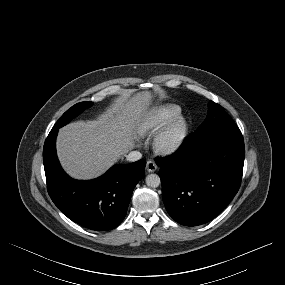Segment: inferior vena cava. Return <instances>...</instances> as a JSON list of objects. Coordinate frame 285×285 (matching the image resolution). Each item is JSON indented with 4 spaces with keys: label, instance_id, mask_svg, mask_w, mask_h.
I'll return each instance as SVG.
<instances>
[{
    "label": "inferior vena cava",
    "instance_id": "inferior-vena-cava-1",
    "mask_svg": "<svg viewBox=\"0 0 285 285\" xmlns=\"http://www.w3.org/2000/svg\"><path fill=\"white\" fill-rule=\"evenodd\" d=\"M142 154L139 151H132L127 155V160L131 162H135L141 159Z\"/></svg>",
    "mask_w": 285,
    "mask_h": 285
}]
</instances>
